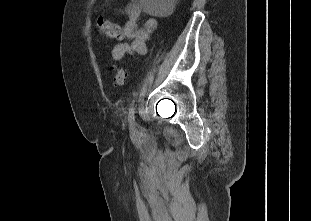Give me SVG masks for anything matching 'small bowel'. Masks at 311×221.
<instances>
[{"label": "small bowel", "mask_w": 311, "mask_h": 221, "mask_svg": "<svg viewBox=\"0 0 311 221\" xmlns=\"http://www.w3.org/2000/svg\"><path fill=\"white\" fill-rule=\"evenodd\" d=\"M127 16L122 35L128 41L120 42L112 49V58L120 61L125 55H143L146 53V40L157 28V20L148 17L142 27H138L137 21L142 13V6L139 0H132L123 11Z\"/></svg>", "instance_id": "1"}]
</instances>
